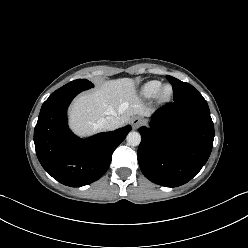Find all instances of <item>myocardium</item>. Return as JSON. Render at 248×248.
<instances>
[{
  "mask_svg": "<svg viewBox=\"0 0 248 248\" xmlns=\"http://www.w3.org/2000/svg\"><path fill=\"white\" fill-rule=\"evenodd\" d=\"M173 89L170 85L166 84L160 87L157 92V99L160 103H167L171 100Z\"/></svg>",
  "mask_w": 248,
  "mask_h": 248,
  "instance_id": "obj_1",
  "label": "myocardium"
}]
</instances>
